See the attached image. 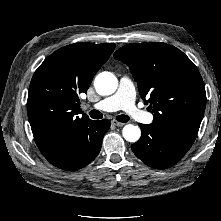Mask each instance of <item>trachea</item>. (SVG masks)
Wrapping results in <instances>:
<instances>
[{
    "label": "trachea",
    "instance_id": "trachea-1",
    "mask_svg": "<svg viewBox=\"0 0 221 221\" xmlns=\"http://www.w3.org/2000/svg\"><path fill=\"white\" fill-rule=\"evenodd\" d=\"M90 117L93 119H101L103 117L102 113L98 110H92L89 112ZM130 118L127 115H118L116 117V120L122 123H125L129 120Z\"/></svg>",
    "mask_w": 221,
    "mask_h": 221
}]
</instances>
